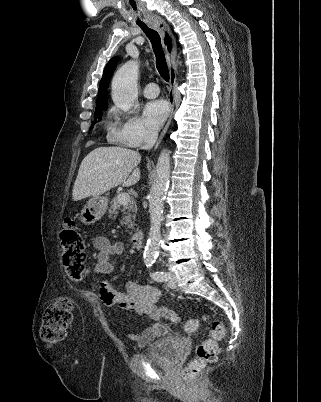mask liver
Here are the masks:
<instances>
[{"label":"liver","mask_w":321,"mask_h":402,"mask_svg":"<svg viewBox=\"0 0 321 402\" xmlns=\"http://www.w3.org/2000/svg\"><path fill=\"white\" fill-rule=\"evenodd\" d=\"M140 154L123 147H98L82 161L74 183L72 198L79 201L100 196L123 185L132 186L140 180Z\"/></svg>","instance_id":"6515ba94"}]
</instances>
